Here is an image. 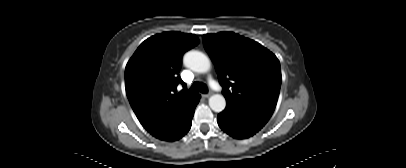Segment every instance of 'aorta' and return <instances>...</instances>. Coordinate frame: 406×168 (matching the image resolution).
I'll return each instance as SVG.
<instances>
[{
    "label": "aorta",
    "instance_id": "aorta-1",
    "mask_svg": "<svg viewBox=\"0 0 406 168\" xmlns=\"http://www.w3.org/2000/svg\"><path fill=\"white\" fill-rule=\"evenodd\" d=\"M184 65L197 73H206L211 67L209 58L202 52L191 50L183 57ZM209 106L214 112H221L226 107V100L220 94H214L209 98Z\"/></svg>",
    "mask_w": 406,
    "mask_h": 168
}]
</instances>
